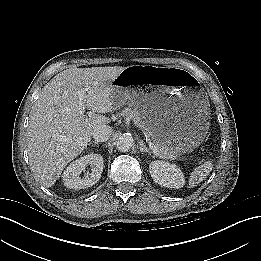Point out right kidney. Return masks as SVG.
Listing matches in <instances>:
<instances>
[{
    "label": "right kidney",
    "instance_id": "1",
    "mask_svg": "<svg viewBox=\"0 0 261 261\" xmlns=\"http://www.w3.org/2000/svg\"><path fill=\"white\" fill-rule=\"evenodd\" d=\"M103 157L100 154H88L73 161L63 172V183L70 189H86L96 184L101 178L104 166ZM90 165L91 173L81 177V173Z\"/></svg>",
    "mask_w": 261,
    "mask_h": 261
}]
</instances>
